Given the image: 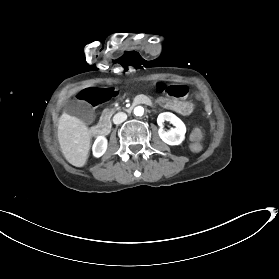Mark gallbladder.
I'll use <instances>...</instances> for the list:
<instances>
[{
    "instance_id": "gallbladder-1",
    "label": "gallbladder",
    "mask_w": 279,
    "mask_h": 279,
    "mask_svg": "<svg viewBox=\"0 0 279 279\" xmlns=\"http://www.w3.org/2000/svg\"><path fill=\"white\" fill-rule=\"evenodd\" d=\"M63 111L67 115H79L80 118L87 125H92L96 121V116L94 111L90 108L87 102L73 101L70 104L64 106Z\"/></svg>"
}]
</instances>
